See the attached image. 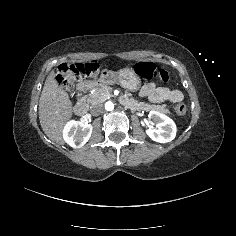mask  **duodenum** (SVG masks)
<instances>
[{"label": "duodenum", "mask_w": 236, "mask_h": 236, "mask_svg": "<svg viewBox=\"0 0 236 236\" xmlns=\"http://www.w3.org/2000/svg\"><path fill=\"white\" fill-rule=\"evenodd\" d=\"M95 84L94 80H84L77 85V101L73 106L76 115H84L87 112V104L82 98V94Z\"/></svg>", "instance_id": "duodenum-1"}]
</instances>
